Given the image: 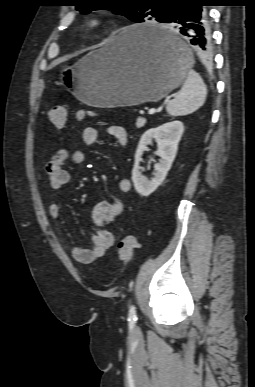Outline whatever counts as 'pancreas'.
I'll return each mask as SVG.
<instances>
[{"label":"pancreas","instance_id":"cf45deb5","mask_svg":"<svg viewBox=\"0 0 255 387\" xmlns=\"http://www.w3.org/2000/svg\"><path fill=\"white\" fill-rule=\"evenodd\" d=\"M139 119V118H138ZM138 119H137V121H138ZM142 119V122H141V124H137V121H136V127L137 128H141V127H143L144 125H145V123H146V120L145 119H143V118H141Z\"/></svg>","mask_w":255,"mask_h":387}]
</instances>
